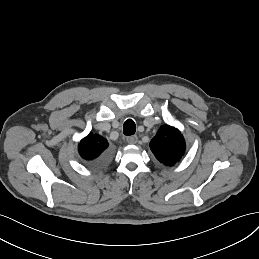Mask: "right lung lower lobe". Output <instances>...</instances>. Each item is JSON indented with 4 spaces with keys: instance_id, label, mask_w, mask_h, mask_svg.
I'll return each mask as SVG.
<instances>
[{
    "instance_id": "obj_1",
    "label": "right lung lower lobe",
    "mask_w": 259,
    "mask_h": 259,
    "mask_svg": "<svg viewBox=\"0 0 259 259\" xmlns=\"http://www.w3.org/2000/svg\"><path fill=\"white\" fill-rule=\"evenodd\" d=\"M107 161V157H102L96 161H93L92 164L94 165H102V164H105Z\"/></svg>"
}]
</instances>
